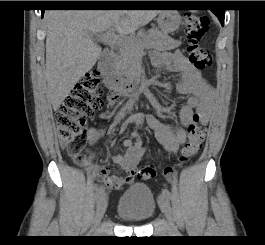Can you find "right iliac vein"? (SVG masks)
Instances as JSON below:
<instances>
[{
    "mask_svg": "<svg viewBox=\"0 0 265 245\" xmlns=\"http://www.w3.org/2000/svg\"><path fill=\"white\" fill-rule=\"evenodd\" d=\"M106 208H107V198L104 195L97 202L95 216H94V224L95 225L99 224V222L103 218L104 213L106 211ZM93 235H94L93 232H89V234H88V236H93Z\"/></svg>",
    "mask_w": 265,
    "mask_h": 245,
    "instance_id": "obj_1",
    "label": "right iliac vein"
}]
</instances>
